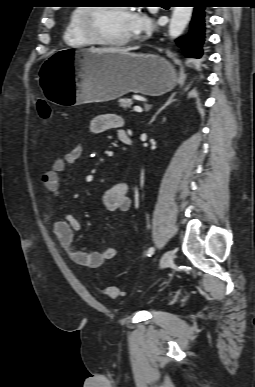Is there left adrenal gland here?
Instances as JSON below:
<instances>
[{
	"mask_svg": "<svg viewBox=\"0 0 255 387\" xmlns=\"http://www.w3.org/2000/svg\"><path fill=\"white\" fill-rule=\"evenodd\" d=\"M175 97V94H172L168 100L165 102V104L152 116L151 120L149 121L148 125H151L155 120H156V117L157 115L163 110L165 109L168 105H170L171 103H173L175 101L174 99Z\"/></svg>",
	"mask_w": 255,
	"mask_h": 387,
	"instance_id": "obj_1",
	"label": "left adrenal gland"
}]
</instances>
